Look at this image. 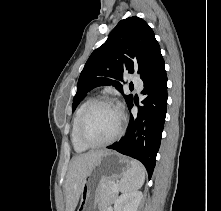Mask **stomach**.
Masks as SVG:
<instances>
[{"instance_id": "obj_1", "label": "stomach", "mask_w": 221, "mask_h": 211, "mask_svg": "<svg viewBox=\"0 0 221 211\" xmlns=\"http://www.w3.org/2000/svg\"><path fill=\"white\" fill-rule=\"evenodd\" d=\"M130 169L125 156L113 151L101 154L87 173L81 191V202L77 211H98L99 190L102 184L122 177Z\"/></svg>"}]
</instances>
